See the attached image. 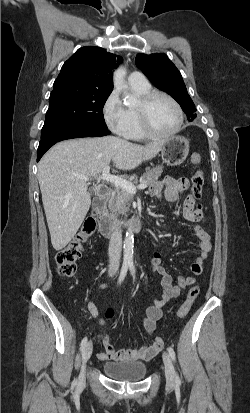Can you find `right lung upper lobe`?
I'll return each instance as SVG.
<instances>
[{"label":"right lung upper lobe","instance_id":"obj_1","mask_svg":"<svg viewBox=\"0 0 250 413\" xmlns=\"http://www.w3.org/2000/svg\"><path fill=\"white\" fill-rule=\"evenodd\" d=\"M122 57L100 47H82L62 66L53 88L75 85L85 89L112 91L113 73Z\"/></svg>","mask_w":250,"mask_h":413}]
</instances>
